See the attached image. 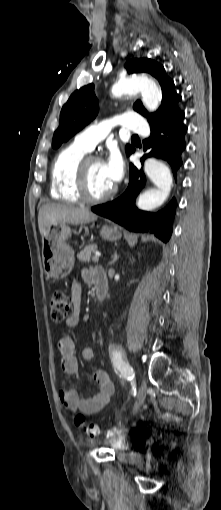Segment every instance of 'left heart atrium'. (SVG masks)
Wrapping results in <instances>:
<instances>
[{
    "label": "left heart atrium",
    "instance_id": "obj_1",
    "mask_svg": "<svg viewBox=\"0 0 221 510\" xmlns=\"http://www.w3.org/2000/svg\"><path fill=\"white\" fill-rule=\"evenodd\" d=\"M105 173L113 185H116L122 178L124 165L120 153L113 150L103 162Z\"/></svg>",
    "mask_w": 221,
    "mask_h": 510
}]
</instances>
